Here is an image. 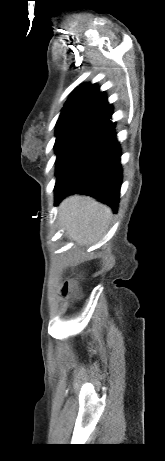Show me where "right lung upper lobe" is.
<instances>
[{
  "label": "right lung upper lobe",
  "instance_id": "right-lung-upper-lobe-1",
  "mask_svg": "<svg viewBox=\"0 0 165 461\" xmlns=\"http://www.w3.org/2000/svg\"><path fill=\"white\" fill-rule=\"evenodd\" d=\"M112 106L107 102L104 92L96 84L86 83L76 88L66 101L59 119L89 115L110 122Z\"/></svg>",
  "mask_w": 165,
  "mask_h": 461
}]
</instances>
